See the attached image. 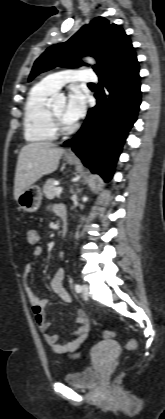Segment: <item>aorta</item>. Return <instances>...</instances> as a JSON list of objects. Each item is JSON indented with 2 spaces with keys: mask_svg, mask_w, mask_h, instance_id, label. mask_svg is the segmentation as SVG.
Returning a JSON list of instances; mask_svg holds the SVG:
<instances>
[{
  "mask_svg": "<svg viewBox=\"0 0 165 419\" xmlns=\"http://www.w3.org/2000/svg\"><path fill=\"white\" fill-rule=\"evenodd\" d=\"M85 60L90 64L95 63V60L91 57H86ZM53 100L56 104H64L65 103V96L62 95V94H58V95L53 97Z\"/></svg>",
  "mask_w": 165,
  "mask_h": 419,
  "instance_id": "1",
  "label": "aorta"
}]
</instances>
